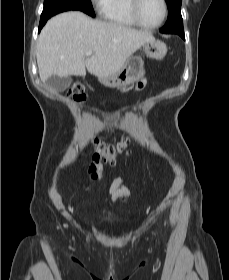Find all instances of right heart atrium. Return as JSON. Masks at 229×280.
<instances>
[{
	"label": "right heart atrium",
	"instance_id": "obj_1",
	"mask_svg": "<svg viewBox=\"0 0 229 280\" xmlns=\"http://www.w3.org/2000/svg\"><path fill=\"white\" fill-rule=\"evenodd\" d=\"M109 0H91L96 12L102 14L108 5Z\"/></svg>",
	"mask_w": 229,
	"mask_h": 280
}]
</instances>
